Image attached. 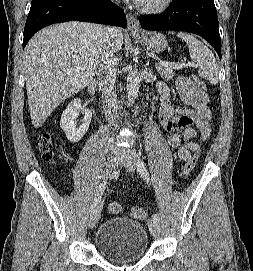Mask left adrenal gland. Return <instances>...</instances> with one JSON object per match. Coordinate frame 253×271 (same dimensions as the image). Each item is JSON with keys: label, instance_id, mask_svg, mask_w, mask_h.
Wrapping results in <instances>:
<instances>
[{"label": "left adrenal gland", "instance_id": "a2214340", "mask_svg": "<svg viewBox=\"0 0 253 271\" xmlns=\"http://www.w3.org/2000/svg\"><path fill=\"white\" fill-rule=\"evenodd\" d=\"M147 66H149V62H147Z\"/></svg>", "mask_w": 253, "mask_h": 271}]
</instances>
